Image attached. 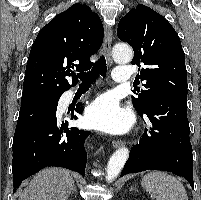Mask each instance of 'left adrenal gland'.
Returning a JSON list of instances; mask_svg holds the SVG:
<instances>
[{
	"label": "left adrenal gland",
	"instance_id": "left-adrenal-gland-1",
	"mask_svg": "<svg viewBox=\"0 0 201 200\" xmlns=\"http://www.w3.org/2000/svg\"><path fill=\"white\" fill-rule=\"evenodd\" d=\"M133 190L138 192V190L136 188H134L133 186H131L130 191H133Z\"/></svg>",
	"mask_w": 201,
	"mask_h": 200
}]
</instances>
